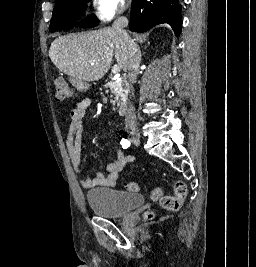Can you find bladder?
I'll return each instance as SVG.
<instances>
[{
  "label": "bladder",
  "mask_w": 256,
  "mask_h": 267,
  "mask_svg": "<svg viewBox=\"0 0 256 267\" xmlns=\"http://www.w3.org/2000/svg\"><path fill=\"white\" fill-rule=\"evenodd\" d=\"M144 196L126 195L121 190L110 188L94 189L86 194V202L97 216L108 218L123 217L137 206L142 205Z\"/></svg>",
  "instance_id": "1"
}]
</instances>
